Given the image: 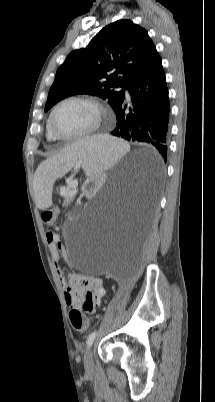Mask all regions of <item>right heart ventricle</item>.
Wrapping results in <instances>:
<instances>
[{
    "instance_id": "right-heart-ventricle-1",
    "label": "right heart ventricle",
    "mask_w": 215,
    "mask_h": 402,
    "mask_svg": "<svg viewBox=\"0 0 215 402\" xmlns=\"http://www.w3.org/2000/svg\"><path fill=\"white\" fill-rule=\"evenodd\" d=\"M46 136H47V139H48L49 141H55V140H57V138L51 133V131H50V129H49L48 122H47V133H46Z\"/></svg>"
}]
</instances>
